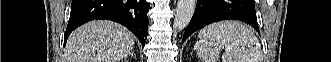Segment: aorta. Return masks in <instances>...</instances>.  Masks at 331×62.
Wrapping results in <instances>:
<instances>
[{
	"label": "aorta",
	"mask_w": 331,
	"mask_h": 62,
	"mask_svg": "<svg viewBox=\"0 0 331 62\" xmlns=\"http://www.w3.org/2000/svg\"><path fill=\"white\" fill-rule=\"evenodd\" d=\"M196 8V0H178L174 28L183 30L191 21Z\"/></svg>",
	"instance_id": "aorta-1"
}]
</instances>
